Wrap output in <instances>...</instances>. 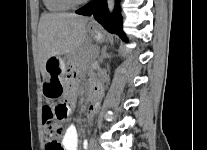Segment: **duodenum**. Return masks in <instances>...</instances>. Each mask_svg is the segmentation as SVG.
Masks as SVG:
<instances>
[{
  "label": "duodenum",
  "mask_w": 207,
  "mask_h": 150,
  "mask_svg": "<svg viewBox=\"0 0 207 150\" xmlns=\"http://www.w3.org/2000/svg\"><path fill=\"white\" fill-rule=\"evenodd\" d=\"M98 91H99L98 85L95 82H93L91 84V94L93 100H95V98L97 97Z\"/></svg>",
  "instance_id": "1"
}]
</instances>
